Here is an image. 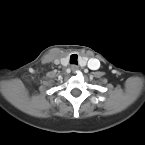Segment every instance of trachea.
<instances>
[{
  "label": "trachea",
  "instance_id": "obj_1",
  "mask_svg": "<svg viewBox=\"0 0 145 145\" xmlns=\"http://www.w3.org/2000/svg\"><path fill=\"white\" fill-rule=\"evenodd\" d=\"M70 64H75V65L78 64V56H77V54H72L70 56Z\"/></svg>",
  "mask_w": 145,
  "mask_h": 145
}]
</instances>
